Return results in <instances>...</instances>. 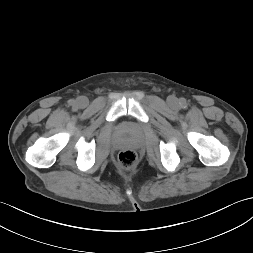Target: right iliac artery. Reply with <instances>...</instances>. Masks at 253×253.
Segmentation results:
<instances>
[{
  "label": "right iliac artery",
  "instance_id": "82829eb1",
  "mask_svg": "<svg viewBox=\"0 0 253 253\" xmlns=\"http://www.w3.org/2000/svg\"><path fill=\"white\" fill-rule=\"evenodd\" d=\"M69 104H70V105H74V104H75V101H74V100H70V101H69Z\"/></svg>",
  "mask_w": 253,
  "mask_h": 253
}]
</instances>
